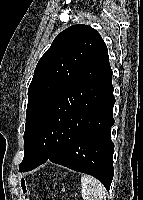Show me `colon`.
Here are the masks:
<instances>
[{
    "mask_svg": "<svg viewBox=\"0 0 143 200\" xmlns=\"http://www.w3.org/2000/svg\"><path fill=\"white\" fill-rule=\"evenodd\" d=\"M20 186H21V191H22V193H26V191H27V186H26V182H25L24 179L21 180Z\"/></svg>",
    "mask_w": 143,
    "mask_h": 200,
    "instance_id": "obj_1",
    "label": "colon"
}]
</instances>
